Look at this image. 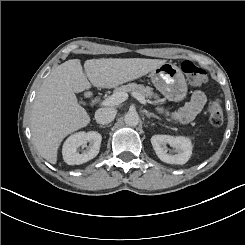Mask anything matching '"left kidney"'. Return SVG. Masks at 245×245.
Segmentation results:
<instances>
[{
  "instance_id": "left-kidney-1",
  "label": "left kidney",
  "mask_w": 245,
  "mask_h": 245,
  "mask_svg": "<svg viewBox=\"0 0 245 245\" xmlns=\"http://www.w3.org/2000/svg\"><path fill=\"white\" fill-rule=\"evenodd\" d=\"M153 149L160 160L169 164H185L193 151L192 140L183 135L170 136V135H154L151 138ZM177 148L175 154H168L166 145Z\"/></svg>"
}]
</instances>
